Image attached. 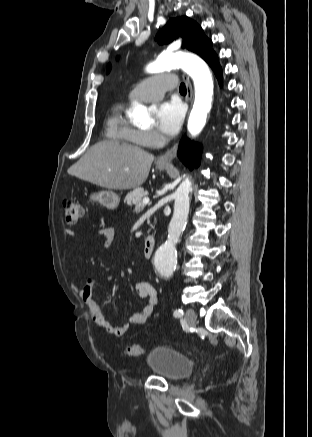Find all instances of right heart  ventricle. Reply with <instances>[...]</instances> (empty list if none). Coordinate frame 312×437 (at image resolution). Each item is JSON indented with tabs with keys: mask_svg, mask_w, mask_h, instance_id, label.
I'll list each match as a JSON object with an SVG mask.
<instances>
[{
	"mask_svg": "<svg viewBox=\"0 0 312 437\" xmlns=\"http://www.w3.org/2000/svg\"><path fill=\"white\" fill-rule=\"evenodd\" d=\"M107 136L117 143L135 146L145 145L141 131L136 129L124 116L122 105H116L106 121Z\"/></svg>",
	"mask_w": 312,
	"mask_h": 437,
	"instance_id": "1",
	"label": "right heart ventricle"
}]
</instances>
